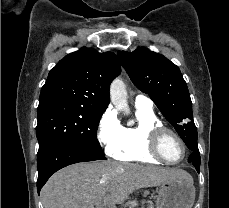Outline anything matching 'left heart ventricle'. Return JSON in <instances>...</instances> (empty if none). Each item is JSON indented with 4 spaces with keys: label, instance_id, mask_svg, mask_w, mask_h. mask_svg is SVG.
I'll use <instances>...</instances> for the list:
<instances>
[{
    "label": "left heart ventricle",
    "instance_id": "obj_1",
    "mask_svg": "<svg viewBox=\"0 0 229 208\" xmlns=\"http://www.w3.org/2000/svg\"><path fill=\"white\" fill-rule=\"evenodd\" d=\"M174 134L173 133H166L163 139L160 140L162 147H160V152L164 154L166 160H180L183 158L185 153L184 147H178V143H174Z\"/></svg>",
    "mask_w": 229,
    "mask_h": 208
}]
</instances>
